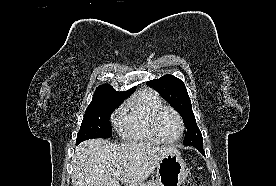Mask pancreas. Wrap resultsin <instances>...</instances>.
<instances>
[{
    "instance_id": "cf45deb5",
    "label": "pancreas",
    "mask_w": 276,
    "mask_h": 186,
    "mask_svg": "<svg viewBox=\"0 0 276 186\" xmlns=\"http://www.w3.org/2000/svg\"><path fill=\"white\" fill-rule=\"evenodd\" d=\"M139 186H159V182L157 180H151L146 183H142Z\"/></svg>"
}]
</instances>
